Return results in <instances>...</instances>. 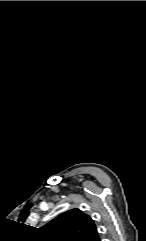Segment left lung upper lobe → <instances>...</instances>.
<instances>
[{
  "label": "left lung upper lobe",
  "instance_id": "1",
  "mask_svg": "<svg viewBox=\"0 0 146 241\" xmlns=\"http://www.w3.org/2000/svg\"><path fill=\"white\" fill-rule=\"evenodd\" d=\"M40 231L45 241H91L98 234L91 217L79 209L62 213Z\"/></svg>",
  "mask_w": 146,
  "mask_h": 241
}]
</instances>
